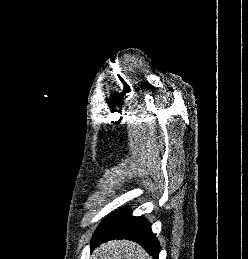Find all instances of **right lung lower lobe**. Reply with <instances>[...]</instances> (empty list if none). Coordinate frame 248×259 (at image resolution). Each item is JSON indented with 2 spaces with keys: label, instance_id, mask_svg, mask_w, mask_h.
<instances>
[{
  "label": "right lung lower lobe",
  "instance_id": "98d812e1",
  "mask_svg": "<svg viewBox=\"0 0 248 259\" xmlns=\"http://www.w3.org/2000/svg\"><path fill=\"white\" fill-rule=\"evenodd\" d=\"M111 239L133 240L145 247L154 259H158L159 242L149 222L132 216L130 209L117 210L101 223L92 238L91 250Z\"/></svg>",
  "mask_w": 248,
  "mask_h": 259
}]
</instances>
